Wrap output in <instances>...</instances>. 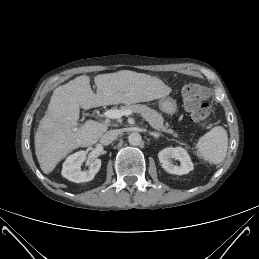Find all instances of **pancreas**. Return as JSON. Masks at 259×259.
Instances as JSON below:
<instances>
[{
  "mask_svg": "<svg viewBox=\"0 0 259 259\" xmlns=\"http://www.w3.org/2000/svg\"><path fill=\"white\" fill-rule=\"evenodd\" d=\"M120 110H131L132 112L139 113L152 128H154L157 131L166 132L169 134H172L174 137H178V134L174 132L172 129L168 128L169 124H164V118L160 113H158L156 110L151 109L147 105H141V104H133V105H126L121 106Z\"/></svg>",
  "mask_w": 259,
  "mask_h": 259,
  "instance_id": "cf45deb5",
  "label": "pancreas"
}]
</instances>
